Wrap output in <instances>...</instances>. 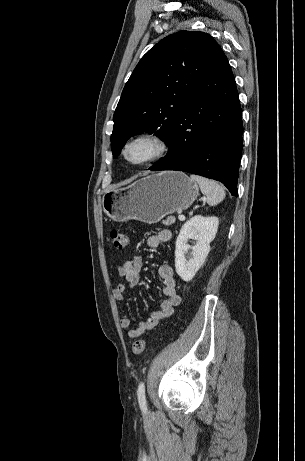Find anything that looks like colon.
<instances>
[{
	"instance_id": "1",
	"label": "colon",
	"mask_w": 305,
	"mask_h": 461,
	"mask_svg": "<svg viewBox=\"0 0 305 461\" xmlns=\"http://www.w3.org/2000/svg\"><path fill=\"white\" fill-rule=\"evenodd\" d=\"M110 237L113 241V244L116 249L124 250L129 244V237L126 233L112 230L110 232ZM147 345L146 340H136L132 345V351L135 355H140L144 352L145 347Z\"/></svg>"
}]
</instances>
